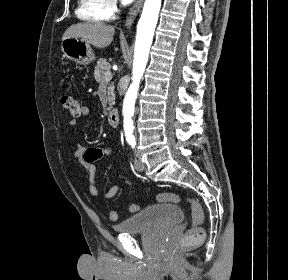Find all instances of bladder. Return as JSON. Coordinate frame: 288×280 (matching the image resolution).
I'll return each mask as SVG.
<instances>
[{
	"instance_id": "obj_1",
	"label": "bladder",
	"mask_w": 288,
	"mask_h": 280,
	"mask_svg": "<svg viewBox=\"0 0 288 280\" xmlns=\"http://www.w3.org/2000/svg\"><path fill=\"white\" fill-rule=\"evenodd\" d=\"M184 219L182 209L174 204L148 206L124 221L114 225V230L123 234L159 231L173 227Z\"/></svg>"
}]
</instances>
